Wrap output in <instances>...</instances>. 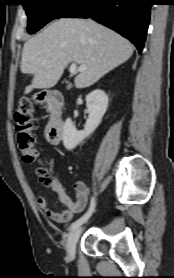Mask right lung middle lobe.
Here are the masks:
<instances>
[{
    "mask_svg": "<svg viewBox=\"0 0 174 278\" xmlns=\"http://www.w3.org/2000/svg\"><path fill=\"white\" fill-rule=\"evenodd\" d=\"M78 0H23L28 16L27 31L37 32L53 19L62 17Z\"/></svg>",
    "mask_w": 174,
    "mask_h": 278,
    "instance_id": "dd1d6c3e",
    "label": "right lung middle lobe"
}]
</instances>
